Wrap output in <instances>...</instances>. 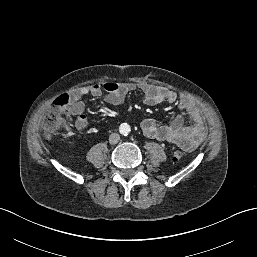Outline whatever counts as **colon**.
<instances>
[{"label": "colon", "instance_id": "colon-1", "mask_svg": "<svg viewBox=\"0 0 257 257\" xmlns=\"http://www.w3.org/2000/svg\"><path fill=\"white\" fill-rule=\"evenodd\" d=\"M69 106L70 96L66 93L56 97L49 106L42 120V128L47 138H50L59 128L69 129L68 120L71 116ZM184 155V151L176 150L173 153V161L181 160Z\"/></svg>", "mask_w": 257, "mask_h": 257}]
</instances>
